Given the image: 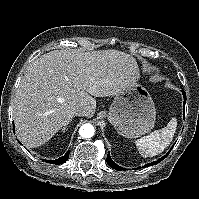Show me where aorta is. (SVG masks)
<instances>
[{
  "instance_id": "aorta-1",
  "label": "aorta",
  "mask_w": 199,
  "mask_h": 199,
  "mask_svg": "<svg viewBox=\"0 0 199 199\" xmlns=\"http://www.w3.org/2000/svg\"><path fill=\"white\" fill-rule=\"evenodd\" d=\"M95 133L93 125L87 123L83 124L79 129V134L82 138H91Z\"/></svg>"
}]
</instances>
